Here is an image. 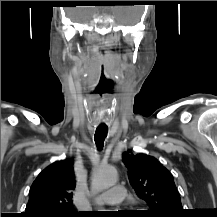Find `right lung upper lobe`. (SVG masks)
<instances>
[{
    "mask_svg": "<svg viewBox=\"0 0 217 217\" xmlns=\"http://www.w3.org/2000/svg\"><path fill=\"white\" fill-rule=\"evenodd\" d=\"M73 160L56 161L33 182L24 217H59L78 215L72 205L75 189Z\"/></svg>",
    "mask_w": 217,
    "mask_h": 217,
    "instance_id": "1",
    "label": "right lung upper lobe"
}]
</instances>
